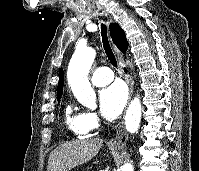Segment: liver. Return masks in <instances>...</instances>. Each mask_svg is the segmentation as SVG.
Segmentation results:
<instances>
[{
    "mask_svg": "<svg viewBox=\"0 0 199 171\" xmlns=\"http://www.w3.org/2000/svg\"><path fill=\"white\" fill-rule=\"evenodd\" d=\"M102 144L103 140L99 138L72 140L61 144L51 152L47 171H70L91 160Z\"/></svg>",
    "mask_w": 199,
    "mask_h": 171,
    "instance_id": "liver-1",
    "label": "liver"
}]
</instances>
